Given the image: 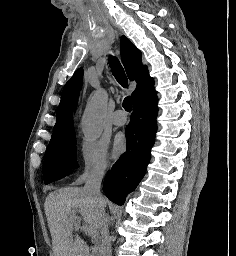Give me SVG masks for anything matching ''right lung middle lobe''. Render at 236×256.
Instances as JSON below:
<instances>
[{
  "label": "right lung middle lobe",
  "instance_id": "obj_1",
  "mask_svg": "<svg viewBox=\"0 0 236 256\" xmlns=\"http://www.w3.org/2000/svg\"><path fill=\"white\" fill-rule=\"evenodd\" d=\"M77 167L75 132L50 141L44 155V183L49 184L71 173Z\"/></svg>",
  "mask_w": 236,
  "mask_h": 256
}]
</instances>
